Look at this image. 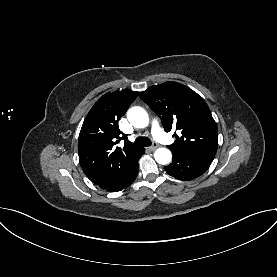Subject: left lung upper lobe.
<instances>
[{
  "label": "left lung upper lobe",
  "instance_id": "obj_1",
  "mask_svg": "<svg viewBox=\"0 0 277 277\" xmlns=\"http://www.w3.org/2000/svg\"><path fill=\"white\" fill-rule=\"evenodd\" d=\"M140 98L160 117L166 132L181 130L168 147L172 152L216 154L218 129L206 102L189 87L165 82L149 87Z\"/></svg>",
  "mask_w": 277,
  "mask_h": 277
}]
</instances>
